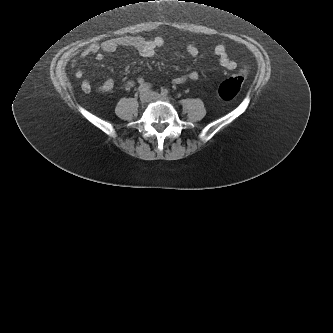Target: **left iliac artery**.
I'll use <instances>...</instances> for the list:
<instances>
[{"instance_id":"1","label":"left iliac artery","mask_w":333,"mask_h":333,"mask_svg":"<svg viewBox=\"0 0 333 333\" xmlns=\"http://www.w3.org/2000/svg\"><path fill=\"white\" fill-rule=\"evenodd\" d=\"M161 94L166 96V95L169 94V90L168 89H162Z\"/></svg>"}]
</instances>
